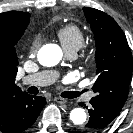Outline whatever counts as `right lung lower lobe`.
Wrapping results in <instances>:
<instances>
[{
    "label": "right lung lower lobe",
    "mask_w": 133,
    "mask_h": 133,
    "mask_svg": "<svg viewBox=\"0 0 133 133\" xmlns=\"http://www.w3.org/2000/svg\"><path fill=\"white\" fill-rule=\"evenodd\" d=\"M46 99L20 93L11 98L0 110V131L3 133H20L33 125Z\"/></svg>",
    "instance_id": "1"
}]
</instances>
